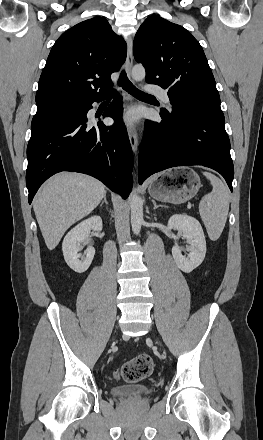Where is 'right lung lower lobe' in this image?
<instances>
[{
    "label": "right lung lower lobe",
    "instance_id": "1",
    "mask_svg": "<svg viewBox=\"0 0 263 440\" xmlns=\"http://www.w3.org/2000/svg\"><path fill=\"white\" fill-rule=\"evenodd\" d=\"M110 92L78 102L81 107L78 118L59 122L30 138L26 171L29 204L42 183L61 171L91 175L124 199L128 197L132 188L133 155L121 120L120 98L116 97L103 114L114 118L113 126L87 123L86 114L92 103L101 101Z\"/></svg>",
    "mask_w": 263,
    "mask_h": 440
}]
</instances>
